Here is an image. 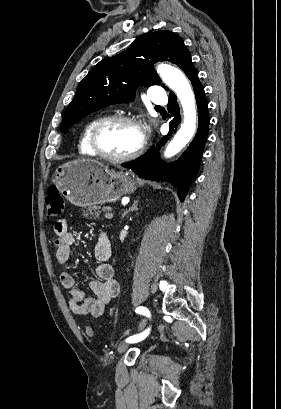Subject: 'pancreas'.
Masks as SVG:
<instances>
[{
	"instance_id": "cf45deb5",
	"label": "pancreas",
	"mask_w": 281,
	"mask_h": 409,
	"mask_svg": "<svg viewBox=\"0 0 281 409\" xmlns=\"http://www.w3.org/2000/svg\"><path fill=\"white\" fill-rule=\"evenodd\" d=\"M108 209L109 207H102V209L101 207H88L86 215H84V217H87V219H100V213H104L108 211Z\"/></svg>"
}]
</instances>
